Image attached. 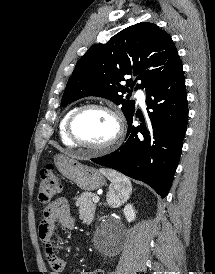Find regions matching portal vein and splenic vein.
Segmentation results:
<instances>
[{
  "label": "portal vein and splenic vein",
  "mask_w": 215,
  "mask_h": 274,
  "mask_svg": "<svg viewBox=\"0 0 215 274\" xmlns=\"http://www.w3.org/2000/svg\"><path fill=\"white\" fill-rule=\"evenodd\" d=\"M92 200L93 202L98 203L100 199L99 196H94Z\"/></svg>",
  "instance_id": "1"
}]
</instances>
